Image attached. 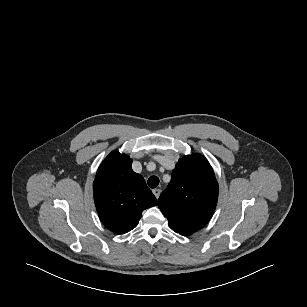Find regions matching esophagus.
I'll return each mask as SVG.
<instances>
[{
	"label": "esophagus",
	"mask_w": 307,
	"mask_h": 307,
	"mask_svg": "<svg viewBox=\"0 0 307 307\" xmlns=\"http://www.w3.org/2000/svg\"><path fill=\"white\" fill-rule=\"evenodd\" d=\"M152 192L155 195V197L158 199L160 194H161V190L160 189H153Z\"/></svg>",
	"instance_id": "obj_1"
}]
</instances>
